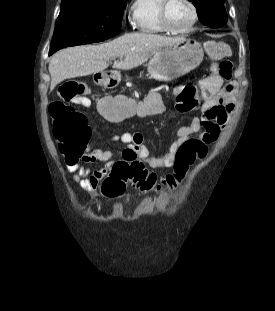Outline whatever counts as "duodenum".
Segmentation results:
<instances>
[{
  "label": "duodenum",
  "mask_w": 275,
  "mask_h": 311,
  "mask_svg": "<svg viewBox=\"0 0 275 311\" xmlns=\"http://www.w3.org/2000/svg\"><path fill=\"white\" fill-rule=\"evenodd\" d=\"M106 74L105 70H96V74L92 75V80L94 81L95 84H100L101 81L103 80V75Z\"/></svg>",
  "instance_id": "410a0bca"
}]
</instances>
